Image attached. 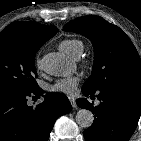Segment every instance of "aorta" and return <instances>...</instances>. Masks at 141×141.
<instances>
[{"label":"aorta","instance_id":"1","mask_svg":"<svg viewBox=\"0 0 141 141\" xmlns=\"http://www.w3.org/2000/svg\"><path fill=\"white\" fill-rule=\"evenodd\" d=\"M42 69L52 76H68L73 71L72 64L57 53H48L42 58ZM76 123L81 128H89L94 121V115L90 110L80 109L76 114Z\"/></svg>","mask_w":141,"mask_h":141}]
</instances>
